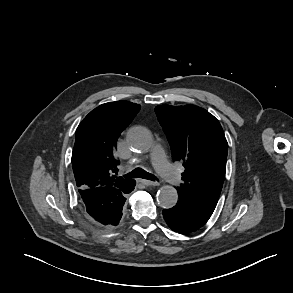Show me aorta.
Segmentation results:
<instances>
[{"mask_svg":"<svg viewBox=\"0 0 293 293\" xmlns=\"http://www.w3.org/2000/svg\"><path fill=\"white\" fill-rule=\"evenodd\" d=\"M127 142L130 147L138 151H147L153 144L151 133L143 127H133L127 134ZM158 203L163 208H172L178 200L177 190L170 185H165L157 193Z\"/></svg>","mask_w":293,"mask_h":293,"instance_id":"1","label":"aorta"}]
</instances>
